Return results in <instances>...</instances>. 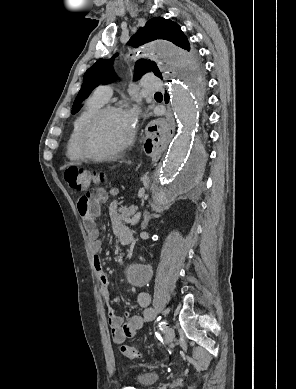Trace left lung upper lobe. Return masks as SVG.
<instances>
[{"label": "left lung upper lobe", "instance_id": "obj_1", "mask_svg": "<svg viewBox=\"0 0 296 389\" xmlns=\"http://www.w3.org/2000/svg\"><path fill=\"white\" fill-rule=\"evenodd\" d=\"M156 39H166L173 42L175 45L190 51V45L187 37L182 32L180 26L162 17H154L150 19L144 27L130 38L128 44L133 47H138L144 43ZM117 56L114 54L111 59H99L91 66L83 77L82 87L73 103L72 114H75L80 109L79 105L82 100L91 93V91L100 84H107L115 80L116 75L112 68L113 60ZM192 66L191 72L194 77L200 78L203 67L199 62L194 51L191 54ZM153 71L156 76L162 79V74L159 71L155 62L141 59L135 65V78H140L146 72Z\"/></svg>", "mask_w": 296, "mask_h": 389}]
</instances>
